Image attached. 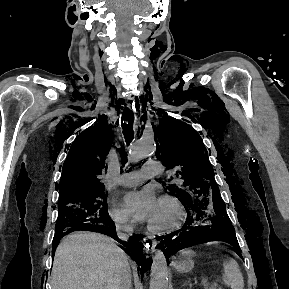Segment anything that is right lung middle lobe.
Returning <instances> with one entry per match:
<instances>
[{"label":"right lung middle lobe","instance_id":"1","mask_svg":"<svg viewBox=\"0 0 289 289\" xmlns=\"http://www.w3.org/2000/svg\"><path fill=\"white\" fill-rule=\"evenodd\" d=\"M104 188L70 193L59 198L55 236H63L81 221L108 216Z\"/></svg>","mask_w":289,"mask_h":289}]
</instances>
